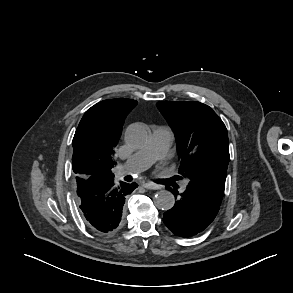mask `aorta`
Instances as JSON below:
<instances>
[{"label":"aorta","instance_id":"obj_1","mask_svg":"<svg viewBox=\"0 0 293 293\" xmlns=\"http://www.w3.org/2000/svg\"><path fill=\"white\" fill-rule=\"evenodd\" d=\"M148 140L149 130L143 124H133L126 131V141L131 147H143ZM174 203V195L167 190H161L155 195V204L159 209L169 210L174 206Z\"/></svg>","mask_w":293,"mask_h":293}]
</instances>
